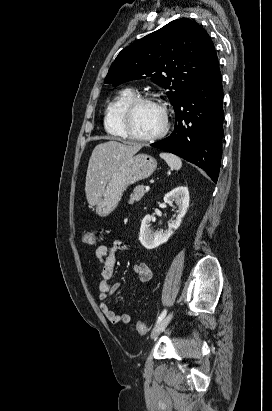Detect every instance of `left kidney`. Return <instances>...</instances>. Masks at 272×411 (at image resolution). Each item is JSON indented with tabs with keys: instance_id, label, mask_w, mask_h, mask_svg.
Here are the masks:
<instances>
[{
	"instance_id": "5707ae66",
	"label": "left kidney",
	"mask_w": 272,
	"mask_h": 411,
	"mask_svg": "<svg viewBox=\"0 0 272 411\" xmlns=\"http://www.w3.org/2000/svg\"><path fill=\"white\" fill-rule=\"evenodd\" d=\"M164 202L172 206L173 202L178 207L176 219L168 224L165 231L153 232L150 228L151 216L146 215L140 227L139 240L146 249H153L167 242L181 224L182 218L187 212L189 206V191L185 186H179L165 194Z\"/></svg>"
}]
</instances>
